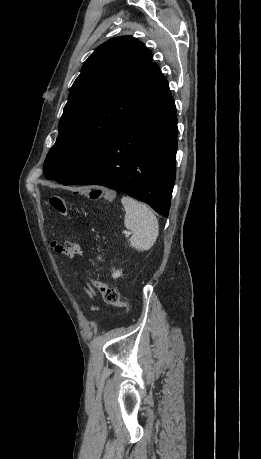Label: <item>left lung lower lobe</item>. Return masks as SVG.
Instances as JSON below:
<instances>
[{"label":"left lung lower lobe","mask_w":261,"mask_h":459,"mask_svg":"<svg viewBox=\"0 0 261 459\" xmlns=\"http://www.w3.org/2000/svg\"><path fill=\"white\" fill-rule=\"evenodd\" d=\"M177 132L176 107L164 80L103 150L62 183L119 190L167 217L176 173Z\"/></svg>","instance_id":"left-lung-lower-lobe-1"}]
</instances>
